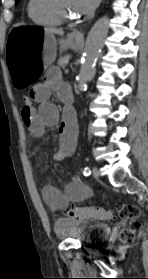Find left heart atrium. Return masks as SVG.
<instances>
[{
  "instance_id": "1",
  "label": "left heart atrium",
  "mask_w": 148,
  "mask_h": 279,
  "mask_svg": "<svg viewBox=\"0 0 148 279\" xmlns=\"http://www.w3.org/2000/svg\"><path fill=\"white\" fill-rule=\"evenodd\" d=\"M75 7L79 14H91L99 4L100 0H74Z\"/></svg>"
}]
</instances>
